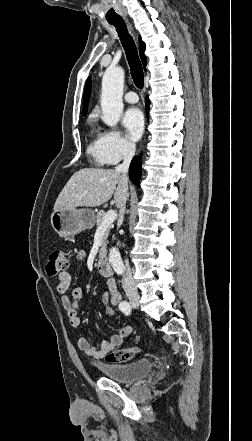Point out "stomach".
<instances>
[{"mask_svg":"<svg viewBox=\"0 0 252 441\" xmlns=\"http://www.w3.org/2000/svg\"><path fill=\"white\" fill-rule=\"evenodd\" d=\"M50 221L52 228L60 237L68 238L92 228L95 214L89 209H54Z\"/></svg>","mask_w":252,"mask_h":441,"instance_id":"1","label":"stomach"}]
</instances>
